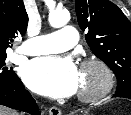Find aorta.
Returning a JSON list of instances; mask_svg holds the SVG:
<instances>
[{
	"mask_svg": "<svg viewBox=\"0 0 131 115\" xmlns=\"http://www.w3.org/2000/svg\"><path fill=\"white\" fill-rule=\"evenodd\" d=\"M48 20L52 27L60 28L69 22L70 14L67 10H55L49 13Z\"/></svg>",
	"mask_w": 131,
	"mask_h": 115,
	"instance_id": "762f6f07",
	"label": "aorta"
}]
</instances>
